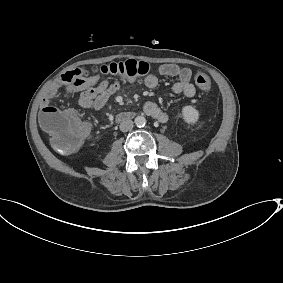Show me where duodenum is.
I'll use <instances>...</instances> for the list:
<instances>
[{"mask_svg":"<svg viewBox=\"0 0 283 283\" xmlns=\"http://www.w3.org/2000/svg\"><path fill=\"white\" fill-rule=\"evenodd\" d=\"M131 117H132V114H129V113L128 114H119L116 117V122L121 123V122H124V121L130 119Z\"/></svg>","mask_w":283,"mask_h":283,"instance_id":"1","label":"duodenum"}]
</instances>
